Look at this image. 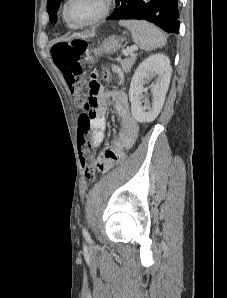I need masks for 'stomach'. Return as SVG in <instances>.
Masks as SVG:
<instances>
[{"instance_id":"stomach-1","label":"stomach","mask_w":227,"mask_h":298,"mask_svg":"<svg viewBox=\"0 0 227 298\" xmlns=\"http://www.w3.org/2000/svg\"><path fill=\"white\" fill-rule=\"evenodd\" d=\"M123 39L118 36H110L107 39H105L102 44L94 51L95 57H99L103 54H111L116 52L120 49L122 45ZM86 62L89 64H92L95 62V58L92 56H87Z\"/></svg>"}]
</instances>
